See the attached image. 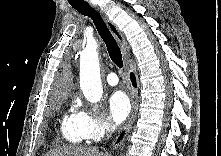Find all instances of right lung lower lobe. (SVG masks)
<instances>
[{"mask_svg":"<svg viewBox=\"0 0 221 156\" xmlns=\"http://www.w3.org/2000/svg\"><path fill=\"white\" fill-rule=\"evenodd\" d=\"M130 76H131V81H132L133 85L136 86V80H135L134 74L131 73Z\"/></svg>","mask_w":221,"mask_h":156,"instance_id":"98d812e1","label":"right lung lower lobe"}]
</instances>
